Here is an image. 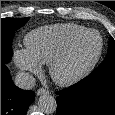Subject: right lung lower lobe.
Listing matches in <instances>:
<instances>
[{
  "label": "right lung lower lobe",
  "instance_id": "98d812e1",
  "mask_svg": "<svg viewBox=\"0 0 115 115\" xmlns=\"http://www.w3.org/2000/svg\"><path fill=\"white\" fill-rule=\"evenodd\" d=\"M35 93L15 86L5 64L1 63V115H26Z\"/></svg>",
  "mask_w": 115,
  "mask_h": 115
}]
</instances>
